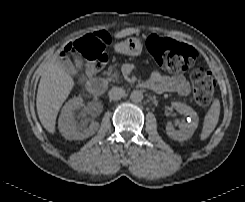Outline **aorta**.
<instances>
[{
    "instance_id": "aorta-1",
    "label": "aorta",
    "mask_w": 245,
    "mask_h": 202,
    "mask_svg": "<svg viewBox=\"0 0 245 202\" xmlns=\"http://www.w3.org/2000/svg\"><path fill=\"white\" fill-rule=\"evenodd\" d=\"M130 99L132 102L139 103L143 100V93L139 90H134L130 94Z\"/></svg>"
}]
</instances>
